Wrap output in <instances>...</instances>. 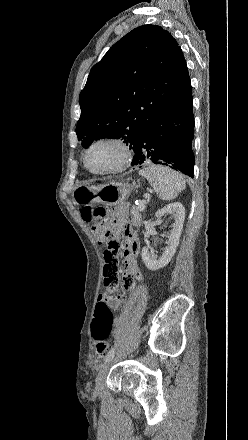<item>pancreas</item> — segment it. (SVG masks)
Wrapping results in <instances>:
<instances>
[{"mask_svg":"<svg viewBox=\"0 0 248 440\" xmlns=\"http://www.w3.org/2000/svg\"><path fill=\"white\" fill-rule=\"evenodd\" d=\"M138 207L132 208L131 210V223L135 227L141 226L142 214L140 212L145 209L144 208L143 210H139Z\"/></svg>","mask_w":248,"mask_h":440,"instance_id":"obj_1","label":"pancreas"}]
</instances>
